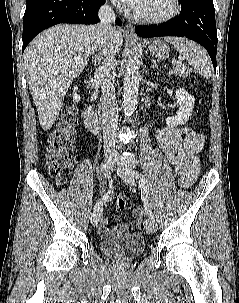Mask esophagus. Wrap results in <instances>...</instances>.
<instances>
[{
	"label": "esophagus",
	"mask_w": 239,
	"mask_h": 303,
	"mask_svg": "<svg viewBox=\"0 0 239 303\" xmlns=\"http://www.w3.org/2000/svg\"><path fill=\"white\" fill-rule=\"evenodd\" d=\"M124 35L127 38L138 40V36L135 33V29L132 24L128 23L125 27Z\"/></svg>",
	"instance_id": "34e87169"
}]
</instances>
